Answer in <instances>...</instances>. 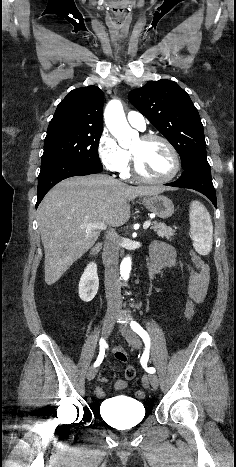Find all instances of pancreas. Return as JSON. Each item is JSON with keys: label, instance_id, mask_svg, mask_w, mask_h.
<instances>
[{"label": "pancreas", "instance_id": "1", "mask_svg": "<svg viewBox=\"0 0 236 467\" xmlns=\"http://www.w3.org/2000/svg\"><path fill=\"white\" fill-rule=\"evenodd\" d=\"M151 228L159 237L166 238L169 241H171L174 236V230L170 227H167L164 223L154 221Z\"/></svg>", "mask_w": 236, "mask_h": 467}]
</instances>
